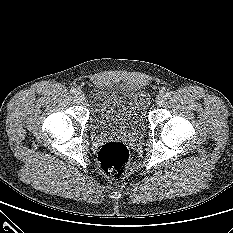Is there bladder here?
Masks as SVG:
<instances>
[{
	"instance_id": "31cf9c89",
	"label": "bladder",
	"mask_w": 233,
	"mask_h": 233,
	"mask_svg": "<svg viewBox=\"0 0 233 233\" xmlns=\"http://www.w3.org/2000/svg\"><path fill=\"white\" fill-rule=\"evenodd\" d=\"M149 93L136 84H94L89 93L90 127L94 133H142L148 124Z\"/></svg>"
}]
</instances>
